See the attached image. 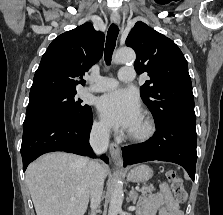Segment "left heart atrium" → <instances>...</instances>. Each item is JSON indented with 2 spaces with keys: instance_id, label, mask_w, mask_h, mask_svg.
Wrapping results in <instances>:
<instances>
[{
  "instance_id": "39dd6f15",
  "label": "left heart atrium",
  "mask_w": 223,
  "mask_h": 215,
  "mask_svg": "<svg viewBox=\"0 0 223 215\" xmlns=\"http://www.w3.org/2000/svg\"><path fill=\"white\" fill-rule=\"evenodd\" d=\"M97 107L106 124L130 129L140 117V101L133 90H116L97 99Z\"/></svg>"
}]
</instances>
